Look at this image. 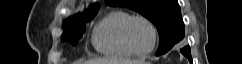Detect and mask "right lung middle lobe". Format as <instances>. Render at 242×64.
Listing matches in <instances>:
<instances>
[{"mask_svg": "<svg viewBox=\"0 0 242 64\" xmlns=\"http://www.w3.org/2000/svg\"><path fill=\"white\" fill-rule=\"evenodd\" d=\"M98 11L91 13L89 15L84 16L79 21L64 25V34L62 36V40H69L73 45H76L79 39L82 38L83 33L85 32L84 22H88L94 18ZM83 22V23H82Z\"/></svg>", "mask_w": 242, "mask_h": 64, "instance_id": "obj_1", "label": "right lung middle lobe"}]
</instances>
